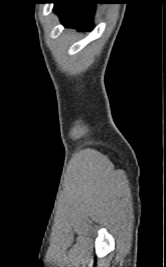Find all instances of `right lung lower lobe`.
I'll use <instances>...</instances> for the list:
<instances>
[{"instance_id": "obj_1", "label": "right lung lower lobe", "mask_w": 166, "mask_h": 267, "mask_svg": "<svg viewBox=\"0 0 166 267\" xmlns=\"http://www.w3.org/2000/svg\"><path fill=\"white\" fill-rule=\"evenodd\" d=\"M54 4V12L65 27L90 30L95 10L92 0H60Z\"/></svg>"}]
</instances>
